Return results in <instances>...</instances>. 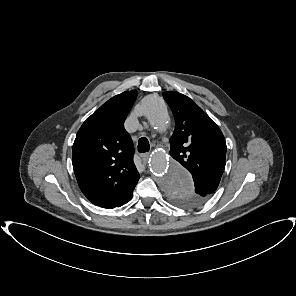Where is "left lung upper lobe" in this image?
I'll return each instance as SVG.
<instances>
[{
  "instance_id": "1",
  "label": "left lung upper lobe",
  "mask_w": 296,
  "mask_h": 296,
  "mask_svg": "<svg viewBox=\"0 0 296 296\" xmlns=\"http://www.w3.org/2000/svg\"><path fill=\"white\" fill-rule=\"evenodd\" d=\"M175 118L171 156L184 166L195 183L193 191H172L170 200L182 207L204 203L217 189L226 163L225 138L215 122L189 97L164 92Z\"/></svg>"
}]
</instances>
